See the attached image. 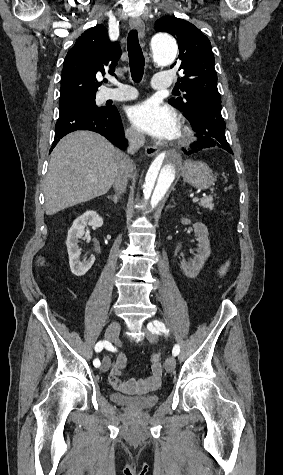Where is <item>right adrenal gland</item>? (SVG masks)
Wrapping results in <instances>:
<instances>
[{
	"label": "right adrenal gland",
	"instance_id": "2a0ac1e0",
	"mask_svg": "<svg viewBox=\"0 0 283 475\" xmlns=\"http://www.w3.org/2000/svg\"><path fill=\"white\" fill-rule=\"evenodd\" d=\"M108 200H112V202H114V204H118L119 200H120V194H115V196H113V198H111V196H107Z\"/></svg>",
	"mask_w": 283,
	"mask_h": 475
}]
</instances>
